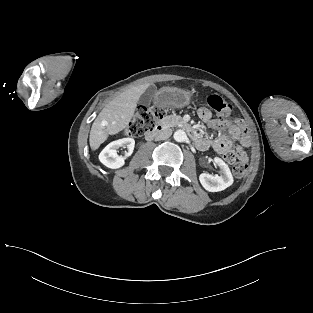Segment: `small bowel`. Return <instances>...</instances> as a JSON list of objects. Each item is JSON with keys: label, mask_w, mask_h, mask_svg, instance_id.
<instances>
[{"label": "small bowel", "mask_w": 313, "mask_h": 313, "mask_svg": "<svg viewBox=\"0 0 313 313\" xmlns=\"http://www.w3.org/2000/svg\"><path fill=\"white\" fill-rule=\"evenodd\" d=\"M198 116L210 128L220 132L214 139L198 135L195 143L199 150L205 151L212 148L224 157L226 154L232 153L236 158L247 159L246 149L251 144V137L246 124L241 119L214 118L211 111L205 107L198 110ZM234 142H236L235 150L232 149Z\"/></svg>", "instance_id": "obj_1"}]
</instances>
